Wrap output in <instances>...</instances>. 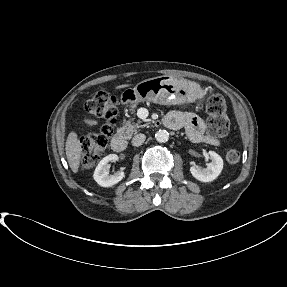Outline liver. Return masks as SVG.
Here are the masks:
<instances>
[{
	"label": "liver",
	"instance_id": "1",
	"mask_svg": "<svg viewBox=\"0 0 287 287\" xmlns=\"http://www.w3.org/2000/svg\"><path fill=\"white\" fill-rule=\"evenodd\" d=\"M128 86L129 85L123 84L116 86V89H121ZM65 150H66L67 161L71 170L74 173H77L81 161L82 146L76 132L71 131L69 133L66 140Z\"/></svg>",
	"mask_w": 287,
	"mask_h": 287
}]
</instances>
